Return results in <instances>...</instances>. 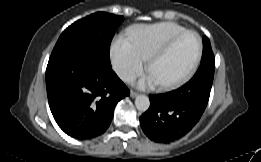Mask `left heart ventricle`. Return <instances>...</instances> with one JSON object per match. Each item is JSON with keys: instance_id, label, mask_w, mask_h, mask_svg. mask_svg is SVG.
I'll list each match as a JSON object with an SVG mask.
<instances>
[{"instance_id": "1", "label": "left heart ventricle", "mask_w": 261, "mask_h": 162, "mask_svg": "<svg viewBox=\"0 0 261 162\" xmlns=\"http://www.w3.org/2000/svg\"><path fill=\"white\" fill-rule=\"evenodd\" d=\"M198 40L193 34L179 38L170 50L150 67L149 74L158 82L172 81L184 74L193 62Z\"/></svg>"}]
</instances>
